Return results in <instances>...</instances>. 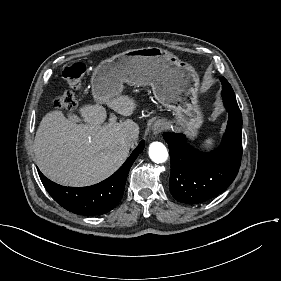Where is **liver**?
Returning <instances> with one entry per match:
<instances>
[{
    "mask_svg": "<svg viewBox=\"0 0 281 281\" xmlns=\"http://www.w3.org/2000/svg\"><path fill=\"white\" fill-rule=\"evenodd\" d=\"M104 102L123 116L132 115L136 108L134 99L127 95ZM79 111L85 124L67 119L61 111L47 113L34 140L41 172L65 186H90L112 175L133 147L122 142V135L139 134L138 124L131 119L102 125L107 114L99 104L85 105Z\"/></svg>",
    "mask_w": 281,
    "mask_h": 281,
    "instance_id": "liver-1",
    "label": "liver"
}]
</instances>
